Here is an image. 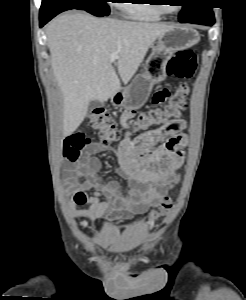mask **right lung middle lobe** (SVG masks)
Segmentation results:
<instances>
[{"label":"right lung middle lobe","mask_w":246,"mask_h":300,"mask_svg":"<svg viewBox=\"0 0 246 300\" xmlns=\"http://www.w3.org/2000/svg\"><path fill=\"white\" fill-rule=\"evenodd\" d=\"M106 2L107 0H42L40 14H46L59 7H71L102 17L110 12Z\"/></svg>","instance_id":"dd1d6c3e"}]
</instances>
